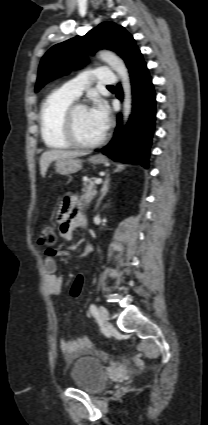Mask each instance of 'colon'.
Here are the masks:
<instances>
[{
  "mask_svg": "<svg viewBox=\"0 0 208 425\" xmlns=\"http://www.w3.org/2000/svg\"><path fill=\"white\" fill-rule=\"evenodd\" d=\"M38 242L40 245L45 247H52L56 242V233L51 226H45L42 228ZM85 285V277L78 275L70 289V294L73 298H78L82 294Z\"/></svg>",
  "mask_w": 208,
  "mask_h": 425,
  "instance_id": "obj_1",
  "label": "colon"
}]
</instances>
